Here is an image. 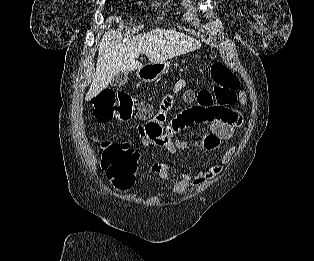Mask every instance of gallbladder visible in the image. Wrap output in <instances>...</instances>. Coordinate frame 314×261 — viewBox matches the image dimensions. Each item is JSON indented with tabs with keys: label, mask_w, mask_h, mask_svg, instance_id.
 <instances>
[{
	"label": "gallbladder",
	"mask_w": 314,
	"mask_h": 261,
	"mask_svg": "<svg viewBox=\"0 0 314 261\" xmlns=\"http://www.w3.org/2000/svg\"><path fill=\"white\" fill-rule=\"evenodd\" d=\"M128 79V73L127 72H119L118 74H116L112 81H111V85L113 87H120L123 86Z\"/></svg>",
	"instance_id": "gallbladder-1"
}]
</instances>
